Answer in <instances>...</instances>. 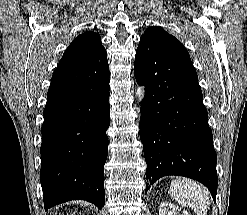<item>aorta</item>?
<instances>
[{"instance_id":"762f6f07","label":"aorta","mask_w":247,"mask_h":215,"mask_svg":"<svg viewBox=\"0 0 247 215\" xmlns=\"http://www.w3.org/2000/svg\"><path fill=\"white\" fill-rule=\"evenodd\" d=\"M144 96H145L144 86L137 85V88H136V97H137L138 101L141 102L144 99Z\"/></svg>"}]
</instances>
